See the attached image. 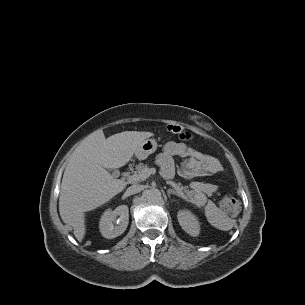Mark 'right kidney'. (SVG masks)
<instances>
[{
    "mask_svg": "<svg viewBox=\"0 0 305 305\" xmlns=\"http://www.w3.org/2000/svg\"><path fill=\"white\" fill-rule=\"evenodd\" d=\"M129 209L127 205H120L115 210L107 209L101 216L99 229L107 239L121 235L129 223ZM117 216H119L117 218Z\"/></svg>",
    "mask_w": 305,
    "mask_h": 305,
    "instance_id": "right-kidney-1",
    "label": "right kidney"
}]
</instances>
